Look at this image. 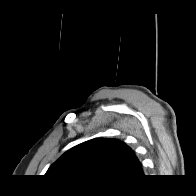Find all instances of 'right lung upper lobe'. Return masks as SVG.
I'll return each mask as SVG.
<instances>
[{"label": "right lung upper lobe", "instance_id": "cb5924a9", "mask_svg": "<svg viewBox=\"0 0 196 196\" xmlns=\"http://www.w3.org/2000/svg\"><path fill=\"white\" fill-rule=\"evenodd\" d=\"M45 175L64 182L117 185L141 178L143 171L135 153L125 143L95 138L65 152Z\"/></svg>", "mask_w": 196, "mask_h": 196}]
</instances>
